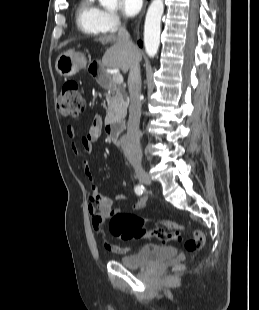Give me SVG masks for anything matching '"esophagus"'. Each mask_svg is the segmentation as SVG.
<instances>
[{
	"instance_id": "1",
	"label": "esophagus",
	"mask_w": 259,
	"mask_h": 310,
	"mask_svg": "<svg viewBox=\"0 0 259 310\" xmlns=\"http://www.w3.org/2000/svg\"><path fill=\"white\" fill-rule=\"evenodd\" d=\"M145 9H146V4H145V6H144V8H143V11H142V13H141V18H142L143 15H144Z\"/></svg>"
}]
</instances>
